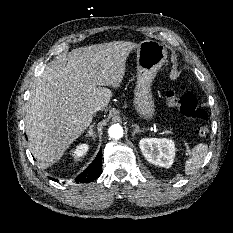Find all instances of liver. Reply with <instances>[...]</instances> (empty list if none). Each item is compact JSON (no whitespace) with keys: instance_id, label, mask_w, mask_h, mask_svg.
<instances>
[{"instance_id":"6515ba94","label":"liver","mask_w":233,"mask_h":233,"mask_svg":"<svg viewBox=\"0 0 233 233\" xmlns=\"http://www.w3.org/2000/svg\"><path fill=\"white\" fill-rule=\"evenodd\" d=\"M138 46L113 41L76 48L36 79L26 106L25 131L42 167L57 162L85 132L95 107L107 108L113 93L106 86L122 82L127 57Z\"/></svg>"}]
</instances>
